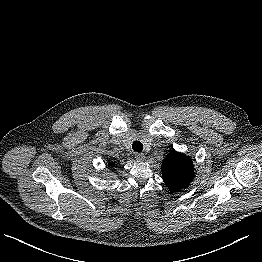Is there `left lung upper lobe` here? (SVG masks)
<instances>
[{
	"label": "left lung upper lobe",
	"instance_id": "1",
	"mask_svg": "<svg viewBox=\"0 0 262 262\" xmlns=\"http://www.w3.org/2000/svg\"><path fill=\"white\" fill-rule=\"evenodd\" d=\"M161 171L163 180L171 192L188 187L194 177L191 158L175 150H171L164 159Z\"/></svg>",
	"mask_w": 262,
	"mask_h": 262
}]
</instances>
